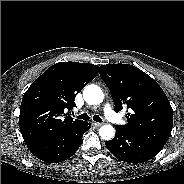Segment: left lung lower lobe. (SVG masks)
<instances>
[{
	"mask_svg": "<svg viewBox=\"0 0 184 184\" xmlns=\"http://www.w3.org/2000/svg\"><path fill=\"white\" fill-rule=\"evenodd\" d=\"M106 146L119 160L134 164L152 159L161 150L120 126H116V135Z\"/></svg>",
	"mask_w": 184,
	"mask_h": 184,
	"instance_id": "1",
	"label": "left lung lower lobe"
}]
</instances>
